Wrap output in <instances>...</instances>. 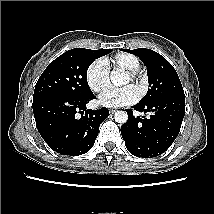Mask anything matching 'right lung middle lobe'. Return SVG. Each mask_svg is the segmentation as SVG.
Here are the masks:
<instances>
[{"mask_svg":"<svg viewBox=\"0 0 214 214\" xmlns=\"http://www.w3.org/2000/svg\"><path fill=\"white\" fill-rule=\"evenodd\" d=\"M110 52L112 49L75 48L63 53L52 61L40 76L35 86L33 101L47 96H92L87 82V70L95 59Z\"/></svg>","mask_w":214,"mask_h":214,"instance_id":"obj_1","label":"right lung middle lobe"}]
</instances>
